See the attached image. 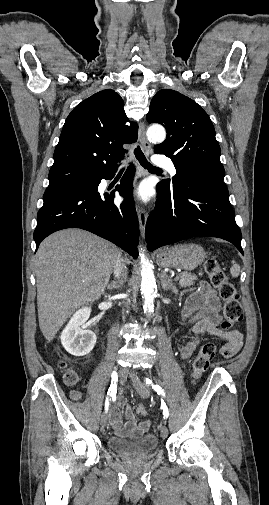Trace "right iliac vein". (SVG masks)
<instances>
[{
	"mask_svg": "<svg viewBox=\"0 0 269 505\" xmlns=\"http://www.w3.org/2000/svg\"><path fill=\"white\" fill-rule=\"evenodd\" d=\"M119 379L121 382V385H124L125 380L127 379L126 376V369L121 368L119 370ZM108 422V417L105 413L102 414L101 419H100V424L102 428H105Z\"/></svg>",
	"mask_w": 269,
	"mask_h": 505,
	"instance_id": "right-iliac-vein-1",
	"label": "right iliac vein"
}]
</instances>
